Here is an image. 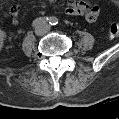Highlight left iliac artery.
Returning <instances> with one entry per match:
<instances>
[{
	"label": "left iliac artery",
	"mask_w": 119,
	"mask_h": 119,
	"mask_svg": "<svg viewBox=\"0 0 119 119\" xmlns=\"http://www.w3.org/2000/svg\"><path fill=\"white\" fill-rule=\"evenodd\" d=\"M58 23V19L56 17H51L49 20L50 25H56Z\"/></svg>",
	"instance_id": "left-iliac-artery-1"
}]
</instances>
